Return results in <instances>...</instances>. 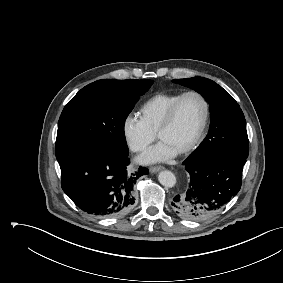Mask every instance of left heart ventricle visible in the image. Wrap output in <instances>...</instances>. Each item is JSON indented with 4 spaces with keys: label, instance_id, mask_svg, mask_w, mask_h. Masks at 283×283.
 Returning a JSON list of instances; mask_svg holds the SVG:
<instances>
[{
    "label": "left heart ventricle",
    "instance_id": "obj_1",
    "mask_svg": "<svg viewBox=\"0 0 283 283\" xmlns=\"http://www.w3.org/2000/svg\"><path fill=\"white\" fill-rule=\"evenodd\" d=\"M203 104L196 96L186 97L179 106L172 126L160 139L180 152L196 136L203 118Z\"/></svg>",
    "mask_w": 283,
    "mask_h": 283
}]
</instances>
